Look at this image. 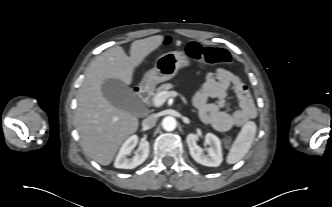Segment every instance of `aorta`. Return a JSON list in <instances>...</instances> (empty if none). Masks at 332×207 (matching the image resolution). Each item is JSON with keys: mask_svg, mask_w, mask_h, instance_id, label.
<instances>
[{"mask_svg": "<svg viewBox=\"0 0 332 207\" xmlns=\"http://www.w3.org/2000/svg\"><path fill=\"white\" fill-rule=\"evenodd\" d=\"M177 126V121L172 116H167L162 120V127L166 131H173Z\"/></svg>", "mask_w": 332, "mask_h": 207, "instance_id": "762f6f07", "label": "aorta"}]
</instances>
